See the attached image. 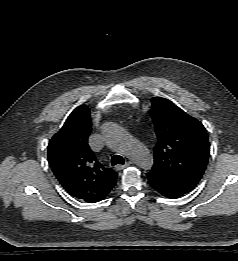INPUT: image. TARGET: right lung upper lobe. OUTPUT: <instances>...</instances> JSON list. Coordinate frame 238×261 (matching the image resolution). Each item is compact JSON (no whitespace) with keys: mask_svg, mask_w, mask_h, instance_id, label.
<instances>
[{"mask_svg":"<svg viewBox=\"0 0 238 261\" xmlns=\"http://www.w3.org/2000/svg\"><path fill=\"white\" fill-rule=\"evenodd\" d=\"M90 110L77 107L49 142L50 167L65 190L78 199L96 202L116 184L117 173L104 167L88 145Z\"/></svg>","mask_w":238,"mask_h":261,"instance_id":"right-lung-upper-lobe-1","label":"right lung upper lobe"}]
</instances>
